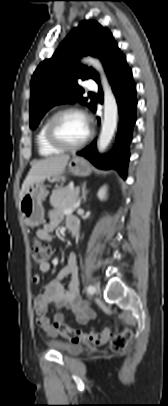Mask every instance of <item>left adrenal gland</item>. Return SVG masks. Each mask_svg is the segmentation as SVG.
Listing matches in <instances>:
<instances>
[{
    "mask_svg": "<svg viewBox=\"0 0 168 406\" xmlns=\"http://www.w3.org/2000/svg\"><path fill=\"white\" fill-rule=\"evenodd\" d=\"M82 195H81V200H83V203L86 202V198H87V194H88V190H86V183H84L82 185Z\"/></svg>",
    "mask_w": 168,
    "mask_h": 406,
    "instance_id": "a2214340",
    "label": "left adrenal gland"
}]
</instances>
